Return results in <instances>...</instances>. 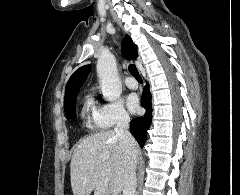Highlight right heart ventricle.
Instances as JSON below:
<instances>
[{
	"label": "right heart ventricle",
	"mask_w": 240,
	"mask_h": 195,
	"mask_svg": "<svg viewBox=\"0 0 240 195\" xmlns=\"http://www.w3.org/2000/svg\"><path fill=\"white\" fill-rule=\"evenodd\" d=\"M97 107L92 97H88L82 107L81 117L85 125L93 131H104L107 126L96 116ZM105 137V136H104Z\"/></svg>",
	"instance_id": "e07e8e85"
}]
</instances>
